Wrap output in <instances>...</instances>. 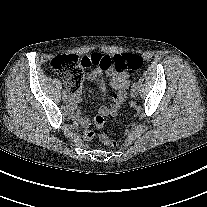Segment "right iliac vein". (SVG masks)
<instances>
[{"label":"right iliac vein","mask_w":207,"mask_h":207,"mask_svg":"<svg viewBox=\"0 0 207 207\" xmlns=\"http://www.w3.org/2000/svg\"><path fill=\"white\" fill-rule=\"evenodd\" d=\"M63 101L65 103H69V97L68 96H63Z\"/></svg>","instance_id":"1"}]
</instances>
